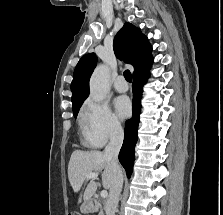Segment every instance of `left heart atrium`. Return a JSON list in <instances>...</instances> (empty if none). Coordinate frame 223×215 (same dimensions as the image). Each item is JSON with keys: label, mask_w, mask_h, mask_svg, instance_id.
Wrapping results in <instances>:
<instances>
[{"label": "left heart atrium", "mask_w": 223, "mask_h": 215, "mask_svg": "<svg viewBox=\"0 0 223 215\" xmlns=\"http://www.w3.org/2000/svg\"><path fill=\"white\" fill-rule=\"evenodd\" d=\"M115 108L120 117H125L130 112V102L125 96H119L114 101Z\"/></svg>", "instance_id": "left-heart-atrium-1"}]
</instances>
